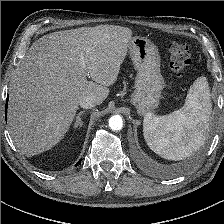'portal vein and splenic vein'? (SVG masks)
<instances>
[{
	"instance_id": "1",
	"label": "portal vein and splenic vein",
	"mask_w": 224,
	"mask_h": 224,
	"mask_svg": "<svg viewBox=\"0 0 224 224\" xmlns=\"http://www.w3.org/2000/svg\"><path fill=\"white\" fill-rule=\"evenodd\" d=\"M83 58H84L83 55H81V60H82V62H83Z\"/></svg>"
}]
</instances>
